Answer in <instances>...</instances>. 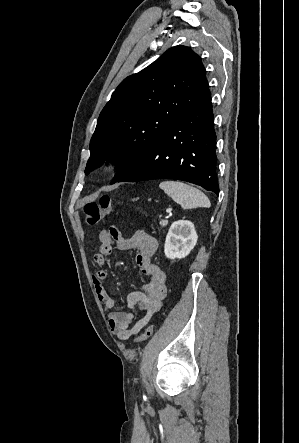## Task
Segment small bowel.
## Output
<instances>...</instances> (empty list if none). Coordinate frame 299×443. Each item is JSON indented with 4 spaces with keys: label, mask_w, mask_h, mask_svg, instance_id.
<instances>
[{
    "label": "small bowel",
    "mask_w": 299,
    "mask_h": 443,
    "mask_svg": "<svg viewBox=\"0 0 299 443\" xmlns=\"http://www.w3.org/2000/svg\"><path fill=\"white\" fill-rule=\"evenodd\" d=\"M99 240L98 252L93 257L98 266L105 265L106 258L114 249L137 250L136 263L142 273L148 277L143 290L133 291L127 296L129 311H119L115 309L114 298L103 285L108 277V272L102 268L93 274L97 296L109 312L108 323L111 333L119 340H127L130 336L137 334L151 317L160 311L166 295V274L152 262L158 248V241L143 230H136L131 236L125 237L116 226L101 230ZM136 307H139L144 314L139 315L132 327H129L135 318L132 310Z\"/></svg>",
    "instance_id": "c3829d8e"
}]
</instances>
